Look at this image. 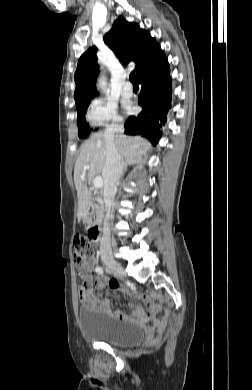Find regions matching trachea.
Instances as JSON below:
<instances>
[{"mask_svg": "<svg viewBox=\"0 0 252 390\" xmlns=\"http://www.w3.org/2000/svg\"><path fill=\"white\" fill-rule=\"evenodd\" d=\"M129 80L131 81V83L133 84L134 87H138V83H137V80H136V76H135V72H131L130 76H129Z\"/></svg>", "mask_w": 252, "mask_h": 390, "instance_id": "trachea-1", "label": "trachea"}]
</instances>
